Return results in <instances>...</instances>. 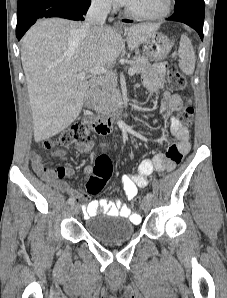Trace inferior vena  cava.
Segmentation results:
<instances>
[{
	"mask_svg": "<svg viewBox=\"0 0 227 298\" xmlns=\"http://www.w3.org/2000/svg\"><path fill=\"white\" fill-rule=\"evenodd\" d=\"M109 0H92L87 11L82 31L87 34H94L103 28L107 14L110 10Z\"/></svg>",
	"mask_w": 227,
	"mask_h": 298,
	"instance_id": "obj_1",
	"label": "inferior vena cava"
}]
</instances>
